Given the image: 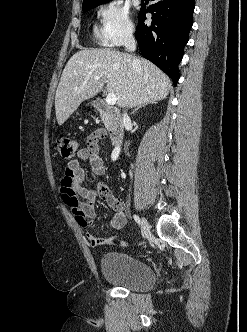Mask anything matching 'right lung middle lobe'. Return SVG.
<instances>
[{"instance_id":"obj_1","label":"right lung middle lobe","mask_w":247,"mask_h":332,"mask_svg":"<svg viewBox=\"0 0 247 332\" xmlns=\"http://www.w3.org/2000/svg\"><path fill=\"white\" fill-rule=\"evenodd\" d=\"M109 1H110V0H109ZM106 2H108V1H106ZM103 3H105V2H103ZM103 3L93 4V5H88V6H83V11H84V12H87V11H89L90 9H93V8L97 7L98 5H101V4H103Z\"/></svg>"}]
</instances>
